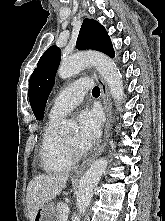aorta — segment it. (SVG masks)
Returning a JSON list of instances; mask_svg holds the SVG:
<instances>
[{
  "label": "aorta",
  "instance_id": "1",
  "mask_svg": "<svg viewBox=\"0 0 165 221\" xmlns=\"http://www.w3.org/2000/svg\"><path fill=\"white\" fill-rule=\"evenodd\" d=\"M88 65L96 68L106 81L112 98L117 104H120L124 95L121 74L116 64L104 54L85 53L74 55L62 61L57 73L61 79H67L76 75ZM76 127V123L68 120L63 122L62 130L69 132L76 129ZM107 164L106 159L100 158L93 162L81 177L76 196V207L79 214H84L89 207L93 197V190L100 181L103 172L107 168Z\"/></svg>",
  "mask_w": 165,
  "mask_h": 221
}]
</instances>
